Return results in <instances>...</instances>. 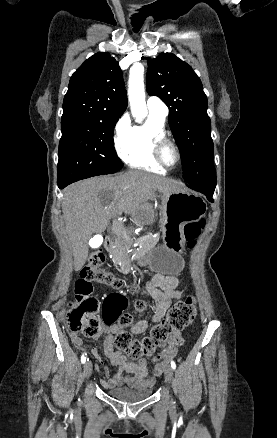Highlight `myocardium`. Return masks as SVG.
<instances>
[{
	"label": "myocardium",
	"instance_id": "1",
	"mask_svg": "<svg viewBox=\"0 0 277 438\" xmlns=\"http://www.w3.org/2000/svg\"><path fill=\"white\" fill-rule=\"evenodd\" d=\"M143 78H145V76ZM167 147H172L176 154L175 163L172 165L168 164L164 158V151ZM153 153L156 162L166 170L174 169L179 164L181 159V153L177 143L168 137H161L155 140L153 144Z\"/></svg>",
	"mask_w": 277,
	"mask_h": 438
}]
</instances>
